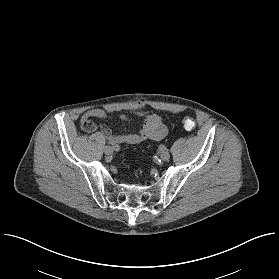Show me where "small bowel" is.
<instances>
[{"label":"small bowel","mask_w":279,"mask_h":279,"mask_svg":"<svg viewBox=\"0 0 279 279\" xmlns=\"http://www.w3.org/2000/svg\"><path fill=\"white\" fill-rule=\"evenodd\" d=\"M111 117L112 115L109 110L95 108L85 112V114L82 116L81 122L82 124H90L93 131L95 129V124L93 123L92 119ZM118 117L123 121H132L131 117L124 114H121ZM100 129L112 145L138 144L146 140H160L167 134V127L165 125L164 119L158 114H149L144 116L141 121V127L136 133L113 134L111 129L105 124H102Z\"/></svg>","instance_id":"c3829d8e"}]
</instances>
